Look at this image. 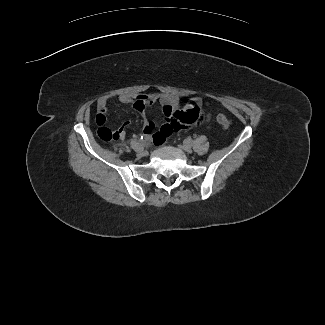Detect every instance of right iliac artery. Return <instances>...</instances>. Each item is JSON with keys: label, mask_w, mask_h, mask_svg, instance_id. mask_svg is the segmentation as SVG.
I'll list each match as a JSON object with an SVG mask.
<instances>
[{"label": "right iliac artery", "mask_w": 325, "mask_h": 325, "mask_svg": "<svg viewBox=\"0 0 325 325\" xmlns=\"http://www.w3.org/2000/svg\"><path fill=\"white\" fill-rule=\"evenodd\" d=\"M131 147L134 149V150H137L138 148H139V144L137 143V142H135V141H132L131 143Z\"/></svg>", "instance_id": "82829eb1"}]
</instances>
